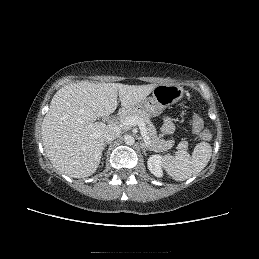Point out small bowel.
Segmentation results:
<instances>
[{
	"instance_id": "1",
	"label": "small bowel",
	"mask_w": 259,
	"mask_h": 259,
	"mask_svg": "<svg viewBox=\"0 0 259 259\" xmlns=\"http://www.w3.org/2000/svg\"><path fill=\"white\" fill-rule=\"evenodd\" d=\"M173 131V124L169 118H165L162 125V132L164 134H170Z\"/></svg>"
}]
</instances>
